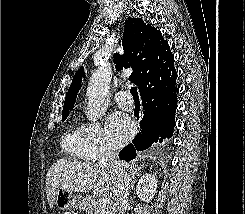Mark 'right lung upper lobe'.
Returning <instances> with one entry per match:
<instances>
[{
  "label": "right lung upper lobe",
  "instance_id": "right-lung-upper-lobe-1",
  "mask_svg": "<svg viewBox=\"0 0 245 214\" xmlns=\"http://www.w3.org/2000/svg\"><path fill=\"white\" fill-rule=\"evenodd\" d=\"M123 49V56L118 53L114 54L115 66L117 70L131 67L133 72L129 79L139 86V89L148 74L173 57L168 42L163 39L161 32L144 23L140 18L126 19ZM83 74V68H81L74 75L65 98L62 114H68L73 108Z\"/></svg>",
  "mask_w": 245,
  "mask_h": 214
}]
</instances>
